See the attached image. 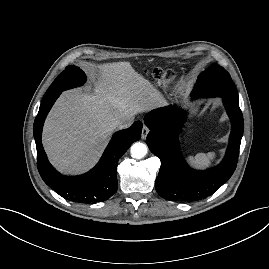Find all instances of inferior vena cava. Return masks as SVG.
<instances>
[{
    "label": "inferior vena cava",
    "instance_id": "1",
    "mask_svg": "<svg viewBox=\"0 0 269 269\" xmlns=\"http://www.w3.org/2000/svg\"><path fill=\"white\" fill-rule=\"evenodd\" d=\"M133 118H127L118 123L117 128L124 129L128 128L132 124Z\"/></svg>",
    "mask_w": 269,
    "mask_h": 269
}]
</instances>
